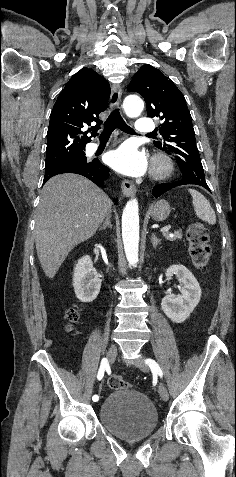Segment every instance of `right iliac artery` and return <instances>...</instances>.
<instances>
[{"label":"right iliac artery","instance_id":"1","mask_svg":"<svg viewBox=\"0 0 236 477\" xmlns=\"http://www.w3.org/2000/svg\"><path fill=\"white\" fill-rule=\"evenodd\" d=\"M107 368H109L108 361H107L106 358H103L102 361H101V365H100L98 374H97L98 380H101V379L103 378L104 372H105V370H106ZM92 400H93V403H94V404H97V403H98V400H99L98 395H94V396L92 397Z\"/></svg>","mask_w":236,"mask_h":477}]
</instances>
